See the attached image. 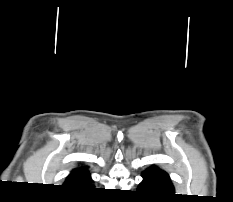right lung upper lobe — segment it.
I'll return each instance as SVG.
<instances>
[{"label": "right lung upper lobe", "instance_id": "1", "mask_svg": "<svg viewBox=\"0 0 233 202\" xmlns=\"http://www.w3.org/2000/svg\"><path fill=\"white\" fill-rule=\"evenodd\" d=\"M65 186L71 189L91 188L92 179L87 167L81 166L73 169L65 180Z\"/></svg>", "mask_w": 233, "mask_h": 202}]
</instances>
